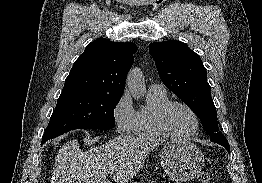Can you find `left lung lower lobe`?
Wrapping results in <instances>:
<instances>
[{
  "label": "left lung lower lobe",
  "instance_id": "1",
  "mask_svg": "<svg viewBox=\"0 0 262 183\" xmlns=\"http://www.w3.org/2000/svg\"><path fill=\"white\" fill-rule=\"evenodd\" d=\"M216 143L224 146L226 150L230 153V147H229L228 141H222V142H216Z\"/></svg>",
  "mask_w": 262,
  "mask_h": 183
}]
</instances>
